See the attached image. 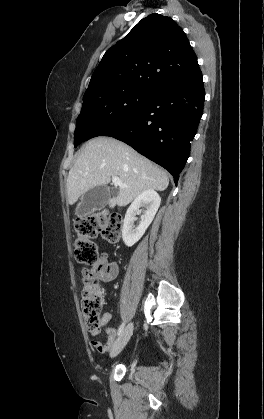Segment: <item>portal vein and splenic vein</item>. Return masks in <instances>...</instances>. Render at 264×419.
<instances>
[{
  "label": "portal vein and splenic vein",
  "mask_w": 264,
  "mask_h": 419,
  "mask_svg": "<svg viewBox=\"0 0 264 419\" xmlns=\"http://www.w3.org/2000/svg\"><path fill=\"white\" fill-rule=\"evenodd\" d=\"M112 182L115 186L127 187V185L123 184L118 177H112Z\"/></svg>",
  "instance_id": "18ae733b"
}]
</instances>
